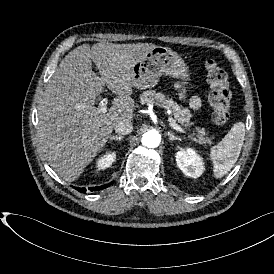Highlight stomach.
Listing matches in <instances>:
<instances>
[{"label":"stomach","instance_id":"1","mask_svg":"<svg viewBox=\"0 0 274 274\" xmlns=\"http://www.w3.org/2000/svg\"><path fill=\"white\" fill-rule=\"evenodd\" d=\"M136 81L135 87L143 90L154 87L162 75H169L181 79L183 84L190 81V72L184 60L170 48L156 46L147 53L143 61L132 67Z\"/></svg>","mask_w":274,"mask_h":274}]
</instances>
